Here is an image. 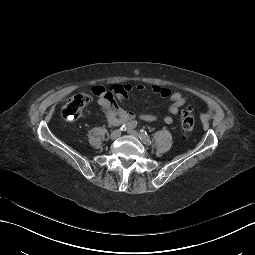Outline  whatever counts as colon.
<instances>
[{"label": "colon", "instance_id": "1", "mask_svg": "<svg viewBox=\"0 0 255 255\" xmlns=\"http://www.w3.org/2000/svg\"><path fill=\"white\" fill-rule=\"evenodd\" d=\"M92 101V97L86 93L74 94L69 96L63 105V116L66 119L73 120L81 116L83 110ZM195 119L190 108L181 112V130L187 135L194 129Z\"/></svg>", "mask_w": 255, "mask_h": 255}]
</instances>
